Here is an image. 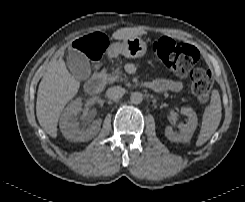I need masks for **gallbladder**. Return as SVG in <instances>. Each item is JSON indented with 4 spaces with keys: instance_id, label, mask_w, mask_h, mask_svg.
I'll return each mask as SVG.
<instances>
[{
    "instance_id": "1",
    "label": "gallbladder",
    "mask_w": 245,
    "mask_h": 202,
    "mask_svg": "<svg viewBox=\"0 0 245 202\" xmlns=\"http://www.w3.org/2000/svg\"><path fill=\"white\" fill-rule=\"evenodd\" d=\"M68 67L74 78L78 81H86L91 75L88 57L76 49L69 50Z\"/></svg>"
}]
</instances>
